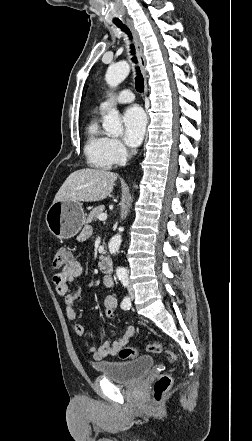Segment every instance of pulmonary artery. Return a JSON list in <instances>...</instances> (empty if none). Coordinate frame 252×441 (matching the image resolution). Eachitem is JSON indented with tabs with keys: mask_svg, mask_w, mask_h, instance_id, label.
I'll list each match as a JSON object with an SVG mask.
<instances>
[{
	"mask_svg": "<svg viewBox=\"0 0 252 441\" xmlns=\"http://www.w3.org/2000/svg\"><path fill=\"white\" fill-rule=\"evenodd\" d=\"M134 99V94L130 90H124L114 100L103 101L99 106V110L105 111L113 104L130 103Z\"/></svg>",
	"mask_w": 252,
	"mask_h": 441,
	"instance_id": "obj_1",
	"label": "pulmonary artery"
}]
</instances>
